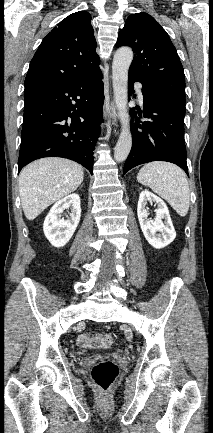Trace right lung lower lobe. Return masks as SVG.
I'll return each instance as SVG.
<instances>
[{"label": "right lung lower lobe", "instance_id": "1", "mask_svg": "<svg viewBox=\"0 0 213 433\" xmlns=\"http://www.w3.org/2000/svg\"><path fill=\"white\" fill-rule=\"evenodd\" d=\"M103 92L100 68L65 85L25 86L18 172L33 160L59 156L80 163L92 174Z\"/></svg>", "mask_w": 213, "mask_h": 433}]
</instances>
